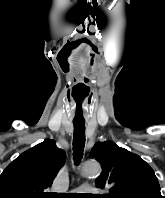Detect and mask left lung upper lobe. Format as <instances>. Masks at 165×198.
Wrapping results in <instances>:
<instances>
[{"mask_svg":"<svg viewBox=\"0 0 165 198\" xmlns=\"http://www.w3.org/2000/svg\"><path fill=\"white\" fill-rule=\"evenodd\" d=\"M92 156L102 166L97 187L110 189L104 198H164L152 168L138 155L114 142H97Z\"/></svg>","mask_w":165,"mask_h":198,"instance_id":"obj_1","label":"left lung upper lobe"}]
</instances>
